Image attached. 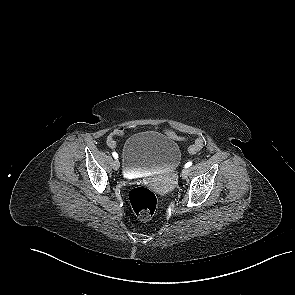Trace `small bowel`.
I'll list each match as a JSON object with an SVG mask.
<instances>
[{"mask_svg": "<svg viewBox=\"0 0 295 295\" xmlns=\"http://www.w3.org/2000/svg\"><path fill=\"white\" fill-rule=\"evenodd\" d=\"M125 129L122 126L117 127L106 139V144L109 148L115 149L117 147V141L116 138L120 137L124 134ZM167 135L170 136L173 139L179 140V141H184L185 137L183 136H178L176 133H174L171 130L166 131ZM204 138L199 137L197 138L192 145L189 147V153L191 155H195L198 152H200L204 146Z\"/></svg>", "mask_w": 295, "mask_h": 295, "instance_id": "obj_1", "label": "small bowel"}]
</instances>
